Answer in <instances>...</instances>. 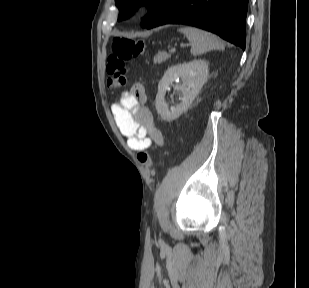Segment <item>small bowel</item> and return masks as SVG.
I'll return each instance as SVG.
<instances>
[{
    "label": "small bowel",
    "instance_id": "c3829d8e",
    "mask_svg": "<svg viewBox=\"0 0 309 288\" xmlns=\"http://www.w3.org/2000/svg\"><path fill=\"white\" fill-rule=\"evenodd\" d=\"M146 94L141 85L123 92L111 106L116 125L127 138L130 149L140 152L152 143L163 144V135L157 128L151 111L145 106Z\"/></svg>",
    "mask_w": 309,
    "mask_h": 288
}]
</instances>
